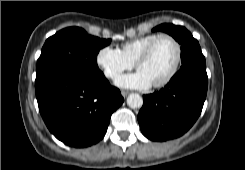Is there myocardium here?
Segmentation results:
<instances>
[{"mask_svg":"<svg viewBox=\"0 0 245 170\" xmlns=\"http://www.w3.org/2000/svg\"><path fill=\"white\" fill-rule=\"evenodd\" d=\"M169 39L173 45L175 46L176 49V58H175V62L173 64L172 69L170 70V72L161 80L155 83H151V85L153 87L159 88V87H163L165 85H167L177 74L180 64H181V60H182V48L180 43L177 41V39L175 37H173L170 34H160L157 37H155L151 42H149V44L140 52V54L137 56L136 60H135V67L136 69H138L140 63H142L143 61H145L151 54L155 44L161 40V39Z\"/></svg>","mask_w":245,"mask_h":170,"instance_id":"obj_1","label":"myocardium"}]
</instances>
